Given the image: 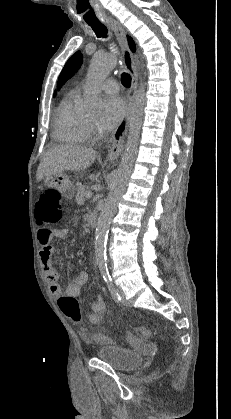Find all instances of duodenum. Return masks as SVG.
<instances>
[{"label":"duodenum","instance_id":"410a0bca","mask_svg":"<svg viewBox=\"0 0 231 419\" xmlns=\"http://www.w3.org/2000/svg\"><path fill=\"white\" fill-rule=\"evenodd\" d=\"M87 222H88V225L91 226V227L96 226V224H97V215L96 214H90V215H88Z\"/></svg>","mask_w":231,"mask_h":419}]
</instances>
